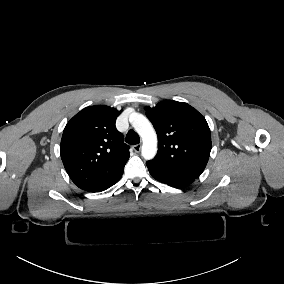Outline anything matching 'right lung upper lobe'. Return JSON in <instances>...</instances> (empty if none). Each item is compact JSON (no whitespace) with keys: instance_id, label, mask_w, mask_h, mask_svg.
<instances>
[{"instance_id":"right-lung-upper-lobe-1","label":"right lung upper lobe","mask_w":284,"mask_h":284,"mask_svg":"<svg viewBox=\"0 0 284 284\" xmlns=\"http://www.w3.org/2000/svg\"><path fill=\"white\" fill-rule=\"evenodd\" d=\"M121 111L109 106H89L67 123L60 145L64 167L80 189L98 192L123 170L129 146L116 129Z\"/></svg>"}]
</instances>
